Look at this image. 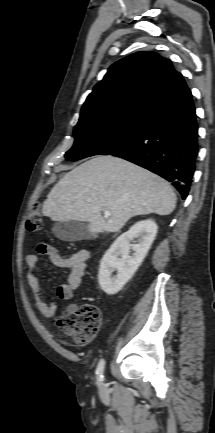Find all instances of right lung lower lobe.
I'll list each match as a JSON object with an SVG mask.
<instances>
[{
  "instance_id": "1",
  "label": "right lung lower lobe",
  "mask_w": 215,
  "mask_h": 433,
  "mask_svg": "<svg viewBox=\"0 0 215 433\" xmlns=\"http://www.w3.org/2000/svg\"><path fill=\"white\" fill-rule=\"evenodd\" d=\"M197 154L198 125L188 87L148 111L136 137L108 153L172 182L183 199L190 189Z\"/></svg>"
}]
</instances>
